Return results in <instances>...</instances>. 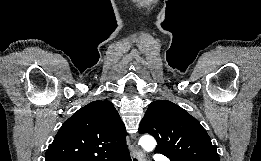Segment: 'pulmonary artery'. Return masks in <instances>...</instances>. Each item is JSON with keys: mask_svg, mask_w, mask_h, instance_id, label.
Segmentation results:
<instances>
[{"mask_svg": "<svg viewBox=\"0 0 261 161\" xmlns=\"http://www.w3.org/2000/svg\"><path fill=\"white\" fill-rule=\"evenodd\" d=\"M157 161H170L167 157H158Z\"/></svg>", "mask_w": 261, "mask_h": 161, "instance_id": "pulmonary-artery-1", "label": "pulmonary artery"}]
</instances>
